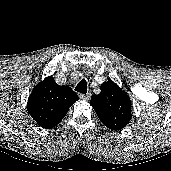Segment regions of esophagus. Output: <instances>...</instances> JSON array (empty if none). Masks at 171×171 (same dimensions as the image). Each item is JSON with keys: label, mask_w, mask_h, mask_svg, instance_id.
<instances>
[{"label": "esophagus", "mask_w": 171, "mask_h": 171, "mask_svg": "<svg viewBox=\"0 0 171 171\" xmlns=\"http://www.w3.org/2000/svg\"><path fill=\"white\" fill-rule=\"evenodd\" d=\"M79 98L82 100H89L90 94H79Z\"/></svg>", "instance_id": "1"}]
</instances>
